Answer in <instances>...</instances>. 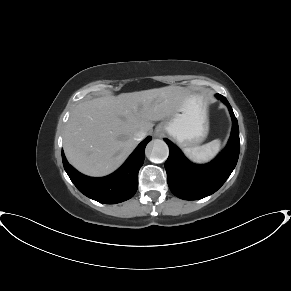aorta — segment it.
<instances>
[{"label":"aorta","mask_w":291,"mask_h":291,"mask_svg":"<svg viewBox=\"0 0 291 291\" xmlns=\"http://www.w3.org/2000/svg\"><path fill=\"white\" fill-rule=\"evenodd\" d=\"M147 152L152 162L162 163L168 158L169 148L163 140L155 139L148 144Z\"/></svg>","instance_id":"1"}]
</instances>
